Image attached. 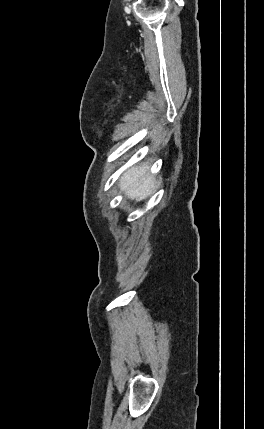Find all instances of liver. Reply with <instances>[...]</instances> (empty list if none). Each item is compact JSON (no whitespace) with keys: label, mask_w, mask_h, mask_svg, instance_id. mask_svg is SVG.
Segmentation results:
<instances>
[{"label":"liver","mask_w":264,"mask_h":429,"mask_svg":"<svg viewBox=\"0 0 264 429\" xmlns=\"http://www.w3.org/2000/svg\"><path fill=\"white\" fill-rule=\"evenodd\" d=\"M149 164L143 163L128 169L120 178V190L131 200L141 201L151 196L157 188V180L148 174Z\"/></svg>","instance_id":"6515ba94"}]
</instances>
